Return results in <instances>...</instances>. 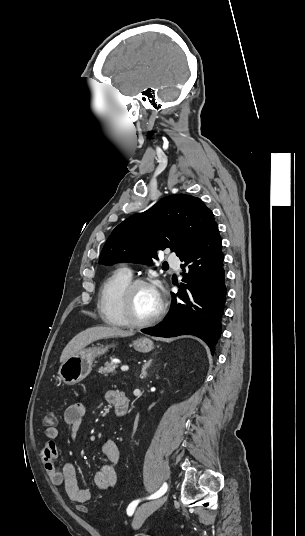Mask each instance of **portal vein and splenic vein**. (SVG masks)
<instances>
[{"mask_svg":"<svg viewBox=\"0 0 305 536\" xmlns=\"http://www.w3.org/2000/svg\"><path fill=\"white\" fill-rule=\"evenodd\" d=\"M113 362H116V360H113ZM122 372H127L129 370V366H121Z\"/></svg>","mask_w":305,"mask_h":536,"instance_id":"portal-vein-and-splenic-vein-1","label":"portal vein and splenic vein"}]
</instances>
